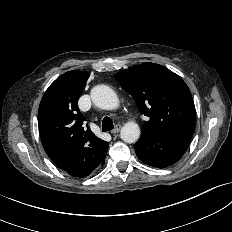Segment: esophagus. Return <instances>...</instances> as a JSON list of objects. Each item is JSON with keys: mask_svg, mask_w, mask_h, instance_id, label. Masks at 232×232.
Here are the masks:
<instances>
[{"mask_svg": "<svg viewBox=\"0 0 232 232\" xmlns=\"http://www.w3.org/2000/svg\"><path fill=\"white\" fill-rule=\"evenodd\" d=\"M121 127H122V126L119 125V124L116 125L115 128H114L113 130H111V133H112V134H117V133L120 131Z\"/></svg>", "mask_w": 232, "mask_h": 232, "instance_id": "34e87169", "label": "esophagus"}]
</instances>
